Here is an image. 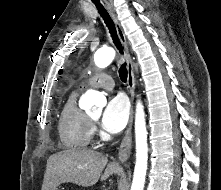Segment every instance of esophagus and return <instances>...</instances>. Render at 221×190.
Segmentation results:
<instances>
[{"instance_id": "34e87169", "label": "esophagus", "mask_w": 221, "mask_h": 190, "mask_svg": "<svg viewBox=\"0 0 221 190\" xmlns=\"http://www.w3.org/2000/svg\"><path fill=\"white\" fill-rule=\"evenodd\" d=\"M107 9L115 24L119 39L123 46L124 55H125V59L127 62V70H128L127 85H128V90H129L131 104H132L131 110H130L129 123L125 132V136L119 146V153H118L119 161L124 163L129 158V155L131 152V146H132V123H133V101H134V96H135V78H134L133 62L129 53L128 42L126 40V36L124 34L122 26L120 22L118 21L112 7L109 4H107Z\"/></svg>"}]
</instances>
